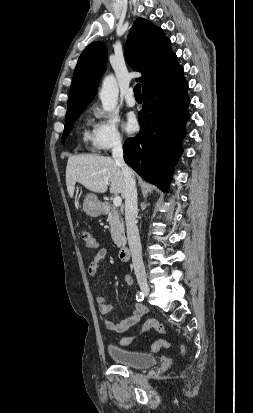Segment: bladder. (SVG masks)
<instances>
[{
    "mask_svg": "<svg viewBox=\"0 0 253 413\" xmlns=\"http://www.w3.org/2000/svg\"><path fill=\"white\" fill-rule=\"evenodd\" d=\"M107 351L115 363L131 368H149L157 363V358L154 355L127 350L115 345H109Z\"/></svg>",
    "mask_w": 253,
    "mask_h": 413,
    "instance_id": "1",
    "label": "bladder"
}]
</instances>
